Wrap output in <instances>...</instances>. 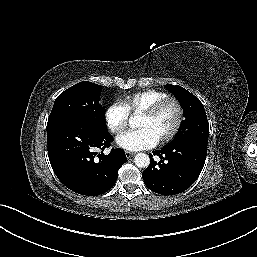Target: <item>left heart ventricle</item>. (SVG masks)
Wrapping results in <instances>:
<instances>
[{
  "label": "left heart ventricle",
  "mask_w": 257,
  "mask_h": 257,
  "mask_svg": "<svg viewBox=\"0 0 257 257\" xmlns=\"http://www.w3.org/2000/svg\"><path fill=\"white\" fill-rule=\"evenodd\" d=\"M176 116L175 106L169 104L156 117L141 116L138 121V127L148 129L160 139L171 131L175 124Z\"/></svg>",
  "instance_id": "b2bd125f"
}]
</instances>
